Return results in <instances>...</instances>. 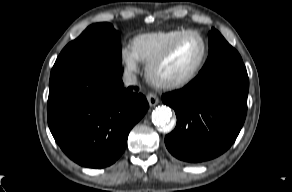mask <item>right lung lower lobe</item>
Here are the masks:
<instances>
[{
	"label": "right lung lower lobe",
	"instance_id": "obj_1",
	"mask_svg": "<svg viewBox=\"0 0 292 192\" xmlns=\"http://www.w3.org/2000/svg\"><path fill=\"white\" fill-rule=\"evenodd\" d=\"M120 64L102 55L59 56L51 70L48 125L74 162L113 164L149 104L137 88H124Z\"/></svg>",
	"mask_w": 292,
	"mask_h": 192
}]
</instances>
